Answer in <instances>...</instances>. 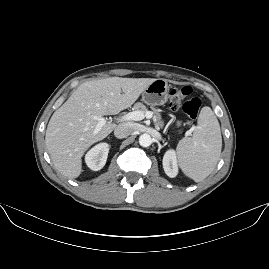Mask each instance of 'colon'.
Returning a JSON list of instances; mask_svg holds the SVG:
<instances>
[{
	"mask_svg": "<svg viewBox=\"0 0 269 269\" xmlns=\"http://www.w3.org/2000/svg\"><path fill=\"white\" fill-rule=\"evenodd\" d=\"M201 105V99L194 96L188 86H175L169 92V107L172 110L182 109L191 119L198 117Z\"/></svg>",
	"mask_w": 269,
	"mask_h": 269,
	"instance_id": "1",
	"label": "colon"
}]
</instances>
